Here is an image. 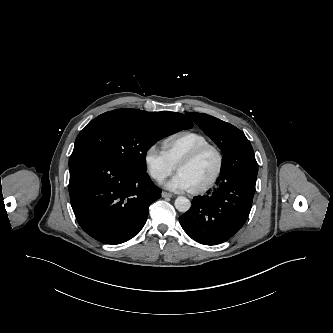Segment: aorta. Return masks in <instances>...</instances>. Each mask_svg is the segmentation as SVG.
I'll use <instances>...</instances> for the list:
<instances>
[{"label":"aorta","instance_id":"1","mask_svg":"<svg viewBox=\"0 0 333 333\" xmlns=\"http://www.w3.org/2000/svg\"><path fill=\"white\" fill-rule=\"evenodd\" d=\"M176 209L179 211V212H187L190 207H191V202L189 199H187L186 197H183V196H180L178 197L176 200H175V203H174Z\"/></svg>","mask_w":333,"mask_h":333}]
</instances>
